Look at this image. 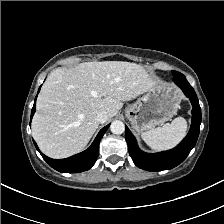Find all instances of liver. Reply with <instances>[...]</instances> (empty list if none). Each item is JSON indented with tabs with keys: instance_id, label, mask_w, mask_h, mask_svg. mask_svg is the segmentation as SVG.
Returning <instances> with one entry per match:
<instances>
[{
	"instance_id": "obj_1",
	"label": "liver",
	"mask_w": 224,
	"mask_h": 224,
	"mask_svg": "<svg viewBox=\"0 0 224 224\" xmlns=\"http://www.w3.org/2000/svg\"><path fill=\"white\" fill-rule=\"evenodd\" d=\"M158 84L146 70L123 61L84 62L50 73L37 98L32 136L48 157L81 152L97 130L99 111L114 117L129 101Z\"/></svg>"
}]
</instances>
